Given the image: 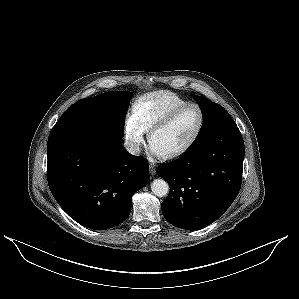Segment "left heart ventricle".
<instances>
[{
	"instance_id": "1",
	"label": "left heart ventricle",
	"mask_w": 299,
	"mask_h": 299,
	"mask_svg": "<svg viewBox=\"0 0 299 299\" xmlns=\"http://www.w3.org/2000/svg\"><path fill=\"white\" fill-rule=\"evenodd\" d=\"M200 122L197 108L181 113L169 126L158 131L151 143L162 153L168 154L182 148L194 135Z\"/></svg>"
}]
</instances>
